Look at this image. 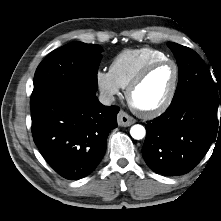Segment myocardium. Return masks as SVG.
<instances>
[{"mask_svg": "<svg viewBox=\"0 0 221 221\" xmlns=\"http://www.w3.org/2000/svg\"><path fill=\"white\" fill-rule=\"evenodd\" d=\"M164 64H170L173 66L174 69V78L172 85L170 87V90L164 100L157 105L154 108L151 109H141L137 107L133 103V93L134 91L141 85V83L146 79V77L150 74V72L161 65ZM179 77H180V71L177 63L173 61L172 59L165 58V59H160V60H155L152 61L148 64H146L139 72L138 74L132 79V81L129 83V85L126 88V98L131 105V107L141 116L147 117V118H152L161 115L164 113L171 103L173 102V99L175 97V94L177 92L178 84H179Z\"/></svg>", "mask_w": 221, "mask_h": 221, "instance_id": "myocardium-1", "label": "myocardium"}]
</instances>
